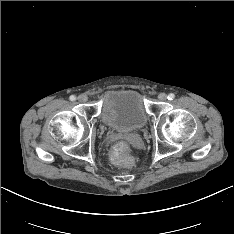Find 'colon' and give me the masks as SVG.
Returning a JSON list of instances; mask_svg holds the SVG:
<instances>
[{
  "instance_id": "1",
  "label": "colon",
  "mask_w": 234,
  "mask_h": 234,
  "mask_svg": "<svg viewBox=\"0 0 234 234\" xmlns=\"http://www.w3.org/2000/svg\"><path fill=\"white\" fill-rule=\"evenodd\" d=\"M132 143L128 139H121L115 142L114 149L110 152V159L118 166H128L135 168L138 165V160L135 157H130Z\"/></svg>"
}]
</instances>
